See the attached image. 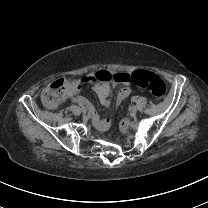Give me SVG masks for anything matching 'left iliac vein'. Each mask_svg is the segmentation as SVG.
Wrapping results in <instances>:
<instances>
[{"label": "left iliac vein", "mask_w": 208, "mask_h": 208, "mask_svg": "<svg viewBox=\"0 0 208 208\" xmlns=\"http://www.w3.org/2000/svg\"><path fill=\"white\" fill-rule=\"evenodd\" d=\"M138 111V107L133 105L129 108L130 114H135Z\"/></svg>", "instance_id": "4c4485c4"}]
</instances>
